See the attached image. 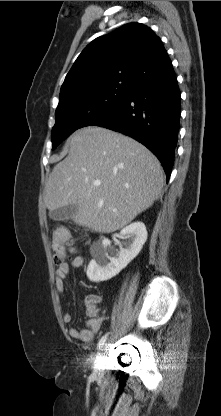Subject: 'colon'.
I'll list each match as a JSON object with an SVG mask.
<instances>
[{
  "mask_svg": "<svg viewBox=\"0 0 221 416\" xmlns=\"http://www.w3.org/2000/svg\"><path fill=\"white\" fill-rule=\"evenodd\" d=\"M51 249L54 262L59 264L64 261L68 254L75 252V247L67 231L57 230L52 235Z\"/></svg>",
  "mask_w": 221,
  "mask_h": 416,
  "instance_id": "obj_1",
  "label": "colon"
}]
</instances>
